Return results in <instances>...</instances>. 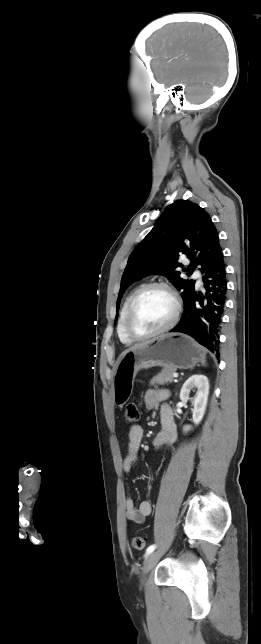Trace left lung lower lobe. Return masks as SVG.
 I'll return each mask as SVG.
<instances>
[{"label":"left lung lower lobe","mask_w":261,"mask_h":644,"mask_svg":"<svg viewBox=\"0 0 261 644\" xmlns=\"http://www.w3.org/2000/svg\"><path fill=\"white\" fill-rule=\"evenodd\" d=\"M202 280L206 290L205 294L194 292L189 302L184 306L179 324L171 332L187 334L211 352L219 354V329L227 292L226 269L222 252L210 262Z\"/></svg>","instance_id":"0a47b994"}]
</instances>
